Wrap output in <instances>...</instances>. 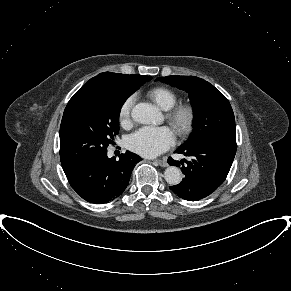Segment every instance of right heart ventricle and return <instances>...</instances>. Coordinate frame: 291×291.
Segmentation results:
<instances>
[{"label":"right heart ventricle","mask_w":291,"mask_h":291,"mask_svg":"<svg viewBox=\"0 0 291 291\" xmlns=\"http://www.w3.org/2000/svg\"><path fill=\"white\" fill-rule=\"evenodd\" d=\"M148 97L162 110H170L178 101V96L170 88L158 86L150 89Z\"/></svg>","instance_id":"e07e8e85"}]
</instances>
